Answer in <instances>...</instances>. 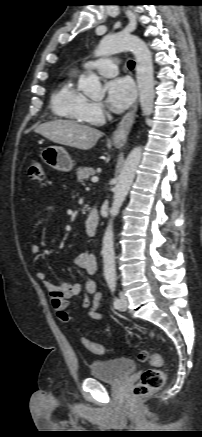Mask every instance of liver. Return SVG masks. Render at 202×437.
<instances>
[{
  "label": "liver",
  "instance_id": "1",
  "mask_svg": "<svg viewBox=\"0 0 202 437\" xmlns=\"http://www.w3.org/2000/svg\"><path fill=\"white\" fill-rule=\"evenodd\" d=\"M35 132L54 143L81 150L91 149L103 135L95 128L68 120H54L40 124Z\"/></svg>",
  "mask_w": 202,
  "mask_h": 437
}]
</instances>
